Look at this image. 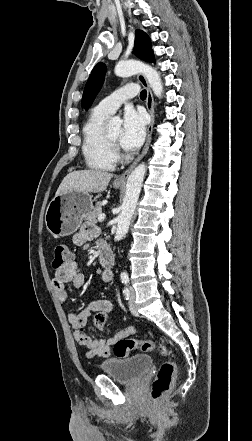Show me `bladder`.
<instances>
[{
    "instance_id": "bladder-1",
    "label": "bladder",
    "mask_w": 252,
    "mask_h": 441,
    "mask_svg": "<svg viewBox=\"0 0 252 441\" xmlns=\"http://www.w3.org/2000/svg\"><path fill=\"white\" fill-rule=\"evenodd\" d=\"M153 359L146 354L111 358L100 364V369L112 379L122 383L140 380L152 367Z\"/></svg>"
}]
</instances>
